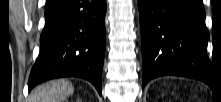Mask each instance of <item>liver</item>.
<instances>
[{
	"label": "liver",
	"instance_id": "liver-1",
	"mask_svg": "<svg viewBox=\"0 0 221 102\" xmlns=\"http://www.w3.org/2000/svg\"><path fill=\"white\" fill-rule=\"evenodd\" d=\"M73 92L74 87L67 80L49 81L33 90L30 102H63Z\"/></svg>",
	"mask_w": 221,
	"mask_h": 102
}]
</instances>
